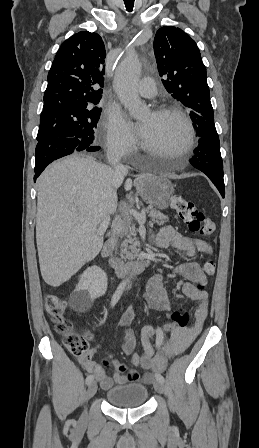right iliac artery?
Returning <instances> with one entry per match:
<instances>
[{
  "label": "right iliac artery",
  "instance_id": "obj_1",
  "mask_svg": "<svg viewBox=\"0 0 259 448\" xmlns=\"http://www.w3.org/2000/svg\"><path fill=\"white\" fill-rule=\"evenodd\" d=\"M125 285L124 284H120L118 286V288L116 289L112 299H111V306L113 307L119 300V298L121 297L123 291H124ZM94 380V376L93 375H89L86 378V384H91Z\"/></svg>",
  "mask_w": 259,
  "mask_h": 448
}]
</instances>
